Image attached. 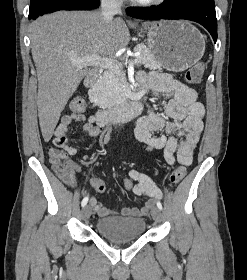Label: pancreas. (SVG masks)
I'll list each match as a JSON object with an SVG mask.
<instances>
[{"instance_id":"pancreas-1","label":"pancreas","mask_w":247,"mask_h":280,"mask_svg":"<svg viewBox=\"0 0 247 280\" xmlns=\"http://www.w3.org/2000/svg\"><path fill=\"white\" fill-rule=\"evenodd\" d=\"M134 50L141 52L136 57L140 64L149 69H161V66L154 59L146 45L138 44ZM125 85L126 81L122 67L118 69H107L95 85L94 100L96 104L101 108H111L122 103L125 98Z\"/></svg>"}]
</instances>
